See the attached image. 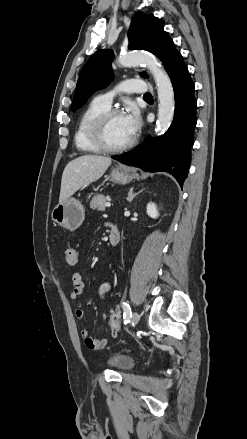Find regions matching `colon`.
Wrapping results in <instances>:
<instances>
[{
  "label": "colon",
  "mask_w": 247,
  "mask_h": 439,
  "mask_svg": "<svg viewBox=\"0 0 247 439\" xmlns=\"http://www.w3.org/2000/svg\"><path fill=\"white\" fill-rule=\"evenodd\" d=\"M66 261L69 265H76L78 262V254L74 248H68L65 254ZM121 314L119 309H114L109 318V326L113 333H117L120 329Z\"/></svg>",
  "instance_id": "obj_1"
}]
</instances>
